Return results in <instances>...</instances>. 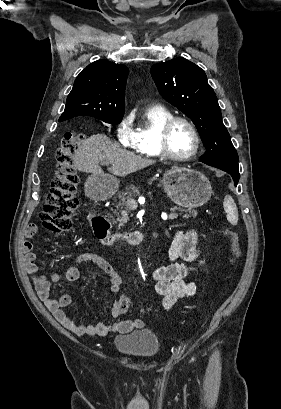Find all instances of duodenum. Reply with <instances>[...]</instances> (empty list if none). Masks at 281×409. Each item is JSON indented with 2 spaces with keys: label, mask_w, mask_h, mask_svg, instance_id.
I'll use <instances>...</instances> for the list:
<instances>
[{
  "label": "duodenum",
  "mask_w": 281,
  "mask_h": 409,
  "mask_svg": "<svg viewBox=\"0 0 281 409\" xmlns=\"http://www.w3.org/2000/svg\"><path fill=\"white\" fill-rule=\"evenodd\" d=\"M89 220L94 236L103 242H108L114 239H122L131 245H138L142 242V235L138 232L112 235L109 231V225L105 217L101 214L94 215Z\"/></svg>",
  "instance_id": "410a0bca"
}]
</instances>
